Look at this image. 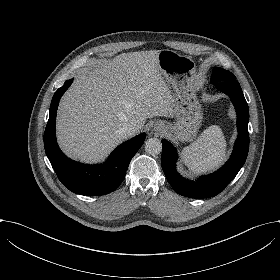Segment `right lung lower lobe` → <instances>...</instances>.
Wrapping results in <instances>:
<instances>
[{
	"mask_svg": "<svg viewBox=\"0 0 280 280\" xmlns=\"http://www.w3.org/2000/svg\"><path fill=\"white\" fill-rule=\"evenodd\" d=\"M72 81H66L52 98L44 133L45 152L59 180L70 191L89 196L108 194L123 181L128 165L146 135L140 134L118 146L103 165L81 164L66 157L56 142L55 120L59 100Z\"/></svg>",
	"mask_w": 280,
	"mask_h": 280,
	"instance_id": "98d812e1",
	"label": "right lung lower lobe"
}]
</instances>
